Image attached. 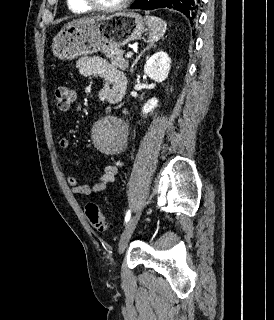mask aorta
I'll list each match as a JSON object with an SVG mask.
<instances>
[{"mask_svg":"<svg viewBox=\"0 0 274 320\" xmlns=\"http://www.w3.org/2000/svg\"><path fill=\"white\" fill-rule=\"evenodd\" d=\"M126 133L125 123L117 117L109 116L100 120L94 126L92 141L101 152L114 154L121 148Z\"/></svg>","mask_w":274,"mask_h":320,"instance_id":"aorta-1","label":"aorta"}]
</instances>
